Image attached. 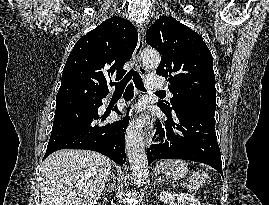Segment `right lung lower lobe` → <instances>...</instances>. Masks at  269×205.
<instances>
[{"label":"right lung lower lobe","mask_w":269,"mask_h":205,"mask_svg":"<svg viewBox=\"0 0 269 205\" xmlns=\"http://www.w3.org/2000/svg\"><path fill=\"white\" fill-rule=\"evenodd\" d=\"M125 99L133 97V85L125 91ZM102 102L93 105L56 108L53 128L43 159L60 149H87L102 153L119 165L126 160L125 131L129 117L123 121L101 124L98 108ZM118 114H121L117 109Z\"/></svg>","instance_id":"right-lung-lower-lobe-1"}]
</instances>
